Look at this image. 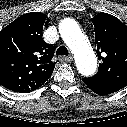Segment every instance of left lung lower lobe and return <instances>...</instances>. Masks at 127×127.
<instances>
[{
	"mask_svg": "<svg viewBox=\"0 0 127 127\" xmlns=\"http://www.w3.org/2000/svg\"><path fill=\"white\" fill-rule=\"evenodd\" d=\"M82 81L89 89L99 95H108L122 89L120 85L102 78H82Z\"/></svg>",
	"mask_w": 127,
	"mask_h": 127,
	"instance_id": "left-lung-lower-lobe-1",
	"label": "left lung lower lobe"
}]
</instances>
